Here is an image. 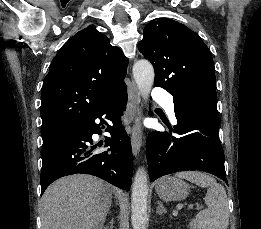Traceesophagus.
Here are the masks:
<instances>
[{
    "label": "esophagus",
    "mask_w": 261,
    "mask_h": 229,
    "mask_svg": "<svg viewBox=\"0 0 261 229\" xmlns=\"http://www.w3.org/2000/svg\"><path fill=\"white\" fill-rule=\"evenodd\" d=\"M128 98L130 102V111L133 116L132 124V135H131V146L134 156H137L141 150L142 146V135H141V99L139 91L133 79H131V84L128 87Z\"/></svg>",
    "instance_id": "obj_1"
}]
</instances>
